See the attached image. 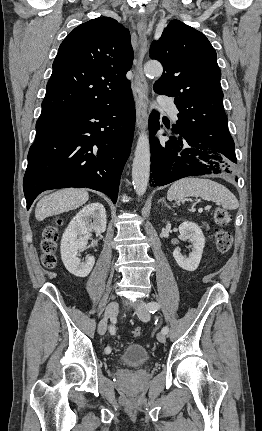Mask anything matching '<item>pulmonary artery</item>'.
Listing matches in <instances>:
<instances>
[{"label":"pulmonary artery","mask_w":262,"mask_h":431,"mask_svg":"<svg viewBox=\"0 0 262 431\" xmlns=\"http://www.w3.org/2000/svg\"><path fill=\"white\" fill-rule=\"evenodd\" d=\"M159 106L166 109L168 112H170L173 115V118L177 119V109L175 108L173 101L171 98L162 96L159 98Z\"/></svg>","instance_id":"1"}]
</instances>
